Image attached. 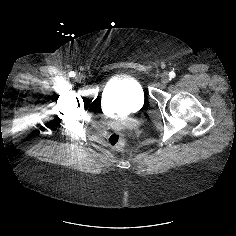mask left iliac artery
Wrapping results in <instances>:
<instances>
[{
    "instance_id": "1",
    "label": "left iliac artery",
    "mask_w": 236,
    "mask_h": 236,
    "mask_svg": "<svg viewBox=\"0 0 236 236\" xmlns=\"http://www.w3.org/2000/svg\"><path fill=\"white\" fill-rule=\"evenodd\" d=\"M175 76H176L175 72L171 71V72L169 73V77H170L171 79L174 78Z\"/></svg>"
}]
</instances>
